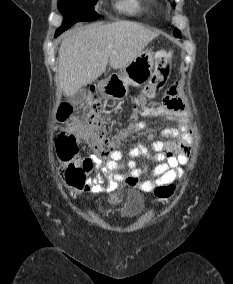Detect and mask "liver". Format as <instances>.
<instances>
[{"label":"liver","instance_id":"1","mask_svg":"<svg viewBox=\"0 0 233 284\" xmlns=\"http://www.w3.org/2000/svg\"><path fill=\"white\" fill-rule=\"evenodd\" d=\"M159 35L131 21L89 25L68 35L59 49L58 80L63 93L74 96L107 68H124Z\"/></svg>","mask_w":233,"mask_h":284}]
</instances>
